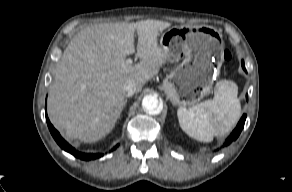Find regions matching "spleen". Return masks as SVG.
I'll list each match as a JSON object with an SVG mask.
<instances>
[{
    "label": "spleen",
    "mask_w": 292,
    "mask_h": 192,
    "mask_svg": "<svg viewBox=\"0 0 292 192\" xmlns=\"http://www.w3.org/2000/svg\"><path fill=\"white\" fill-rule=\"evenodd\" d=\"M237 94L238 87L233 81L217 82L213 100L203 101L188 109L180 107L177 110L182 130L202 142H211L214 136L225 135L241 115Z\"/></svg>",
    "instance_id": "spleen-1"
}]
</instances>
